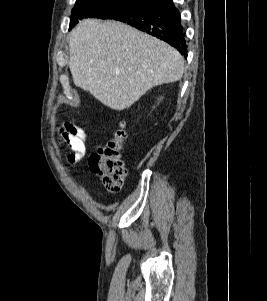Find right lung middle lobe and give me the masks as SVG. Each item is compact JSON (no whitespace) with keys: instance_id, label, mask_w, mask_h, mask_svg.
I'll return each mask as SVG.
<instances>
[{"instance_id":"right-lung-middle-lobe-1","label":"right lung middle lobe","mask_w":267,"mask_h":301,"mask_svg":"<svg viewBox=\"0 0 267 301\" xmlns=\"http://www.w3.org/2000/svg\"><path fill=\"white\" fill-rule=\"evenodd\" d=\"M147 5L145 0H77L71 13L70 29L83 18L113 19Z\"/></svg>"}]
</instances>
